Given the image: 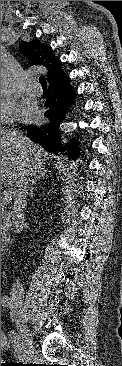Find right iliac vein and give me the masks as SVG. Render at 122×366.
I'll use <instances>...</instances> for the list:
<instances>
[{"mask_svg":"<svg viewBox=\"0 0 122 366\" xmlns=\"http://www.w3.org/2000/svg\"><path fill=\"white\" fill-rule=\"evenodd\" d=\"M12 318L15 320V322L17 323L22 338L24 340V342L26 343V348L24 346V342H23V349H25L26 351L24 352L25 355H30L33 351L34 348L32 346V342L30 339V330L28 329L27 324L24 321V315L23 313L19 310L18 307H13V311H12Z\"/></svg>","mask_w":122,"mask_h":366,"instance_id":"1","label":"right iliac vein"}]
</instances>
